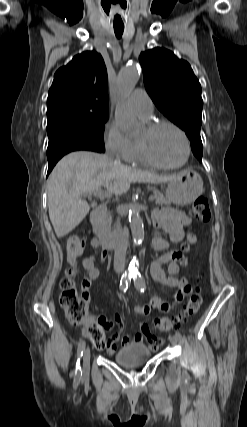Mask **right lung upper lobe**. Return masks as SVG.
I'll use <instances>...</instances> for the list:
<instances>
[{"mask_svg": "<svg viewBox=\"0 0 247 427\" xmlns=\"http://www.w3.org/2000/svg\"><path fill=\"white\" fill-rule=\"evenodd\" d=\"M107 70L94 51L76 55L54 75L47 114L63 108H108Z\"/></svg>", "mask_w": 247, "mask_h": 427, "instance_id": "right-lung-upper-lobe-1", "label": "right lung upper lobe"}]
</instances>
